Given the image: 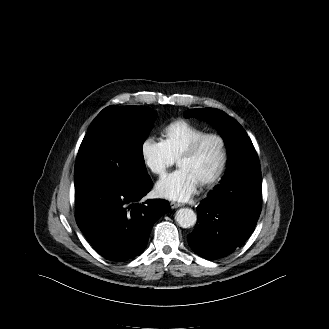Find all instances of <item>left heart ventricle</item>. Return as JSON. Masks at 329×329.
<instances>
[{"mask_svg": "<svg viewBox=\"0 0 329 329\" xmlns=\"http://www.w3.org/2000/svg\"><path fill=\"white\" fill-rule=\"evenodd\" d=\"M220 158L219 142L216 139H208L194 156L181 159L178 166L188 170L200 182L216 170Z\"/></svg>", "mask_w": 329, "mask_h": 329, "instance_id": "b2bd125f", "label": "left heart ventricle"}]
</instances>
